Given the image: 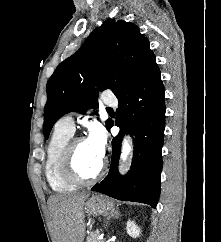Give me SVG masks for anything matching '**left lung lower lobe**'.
<instances>
[{
    "mask_svg": "<svg viewBox=\"0 0 221 242\" xmlns=\"http://www.w3.org/2000/svg\"><path fill=\"white\" fill-rule=\"evenodd\" d=\"M116 97L119 101L116 125L121 130L112 140L109 174L92 190L118 200L146 203L155 208L161 190V150L165 128L164 86L159 67H152ZM112 126L113 123H110L108 129ZM125 133L134 137V154L128 174L121 177L117 170Z\"/></svg>",
    "mask_w": 221,
    "mask_h": 242,
    "instance_id": "1",
    "label": "left lung lower lobe"
}]
</instances>
